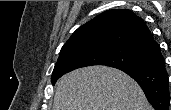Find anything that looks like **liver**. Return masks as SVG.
<instances>
[{"label":"liver","mask_w":171,"mask_h":110,"mask_svg":"<svg viewBox=\"0 0 171 110\" xmlns=\"http://www.w3.org/2000/svg\"><path fill=\"white\" fill-rule=\"evenodd\" d=\"M53 110H152L140 86L107 66L71 71L56 84Z\"/></svg>","instance_id":"1"}]
</instances>
